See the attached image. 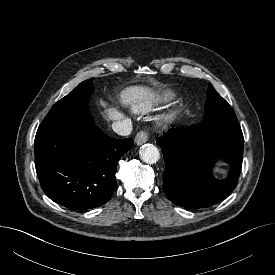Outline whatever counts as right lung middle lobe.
I'll return each mask as SVG.
<instances>
[{
  "label": "right lung middle lobe",
  "mask_w": 275,
  "mask_h": 275,
  "mask_svg": "<svg viewBox=\"0 0 275 275\" xmlns=\"http://www.w3.org/2000/svg\"><path fill=\"white\" fill-rule=\"evenodd\" d=\"M93 90L94 87L92 84V79L81 82L67 96L63 97L54 104L44 120L57 118L66 113L84 108Z\"/></svg>",
  "instance_id": "obj_1"
}]
</instances>
